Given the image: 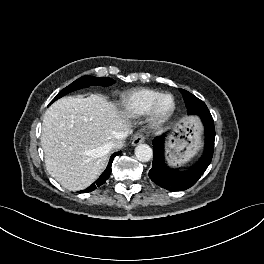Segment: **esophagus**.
Wrapping results in <instances>:
<instances>
[{
    "label": "esophagus",
    "mask_w": 264,
    "mask_h": 264,
    "mask_svg": "<svg viewBox=\"0 0 264 264\" xmlns=\"http://www.w3.org/2000/svg\"><path fill=\"white\" fill-rule=\"evenodd\" d=\"M145 140V137L141 134H136L134 137H133V140H132V145L133 146H136L138 144H141L143 143Z\"/></svg>",
    "instance_id": "1"
}]
</instances>
